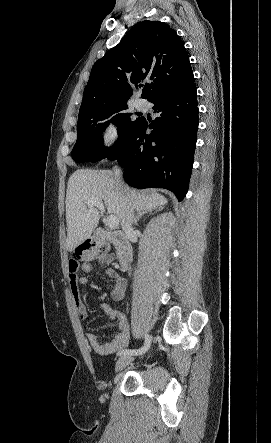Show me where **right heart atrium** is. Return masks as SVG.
I'll return each mask as SVG.
<instances>
[{
    "instance_id": "obj_1",
    "label": "right heart atrium",
    "mask_w": 271,
    "mask_h": 443,
    "mask_svg": "<svg viewBox=\"0 0 271 443\" xmlns=\"http://www.w3.org/2000/svg\"><path fill=\"white\" fill-rule=\"evenodd\" d=\"M122 134L120 124L115 120H109L103 126L99 135V146L103 152H109L119 142Z\"/></svg>"
}]
</instances>
